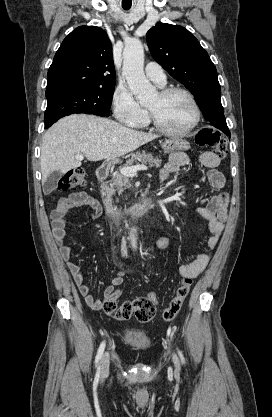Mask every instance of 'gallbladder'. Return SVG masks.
Here are the masks:
<instances>
[{"label":"gallbladder","mask_w":272,"mask_h":417,"mask_svg":"<svg viewBox=\"0 0 272 417\" xmlns=\"http://www.w3.org/2000/svg\"><path fill=\"white\" fill-rule=\"evenodd\" d=\"M62 177V173L60 171L52 172L45 183L43 184V191L45 194H50L56 189L57 183Z\"/></svg>","instance_id":"obj_1"}]
</instances>
